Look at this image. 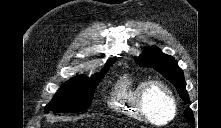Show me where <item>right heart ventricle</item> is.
Masks as SVG:
<instances>
[{"label":"right heart ventricle","instance_id":"obj_1","mask_svg":"<svg viewBox=\"0 0 221 128\" xmlns=\"http://www.w3.org/2000/svg\"><path fill=\"white\" fill-rule=\"evenodd\" d=\"M145 79H137L131 74H123L114 84L109 105L121 116L141 119L136 98Z\"/></svg>","mask_w":221,"mask_h":128}]
</instances>
